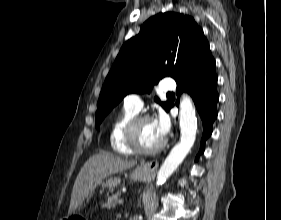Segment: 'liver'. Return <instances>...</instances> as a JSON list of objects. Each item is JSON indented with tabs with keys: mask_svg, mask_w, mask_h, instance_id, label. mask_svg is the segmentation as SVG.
<instances>
[{
	"mask_svg": "<svg viewBox=\"0 0 281 220\" xmlns=\"http://www.w3.org/2000/svg\"><path fill=\"white\" fill-rule=\"evenodd\" d=\"M137 164L136 160H126L102 152L90 157L81 168L71 193L69 214L77 209L102 180Z\"/></svg>",
	"mask_w": 281,
	"mask_h": 220,
	"instance_id": "6515ba94",
	"label": "liver"
}]
</instances>
